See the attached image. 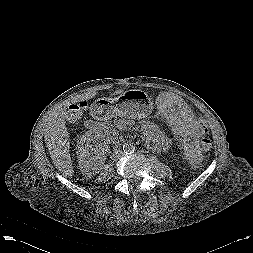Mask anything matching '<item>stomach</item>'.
<instances>
[{
  "label": "stomach",
  "mask_w": 253,
  "mask_h": 253,
  "mask_svg": "<svg viewBox=\"0 0 253 253\" xmlns=\"http://www.w3.org/2000/svg\"><path fill=\"white\" fill-rule=\"evenodd\" d=\"M93 107L104 118L116 114L131 119H142L152 113L153 102L146 92L130 89L115 98L99 99Z\"/></svg>",
  "instance_id": "obj_1"
}]
</instances>
